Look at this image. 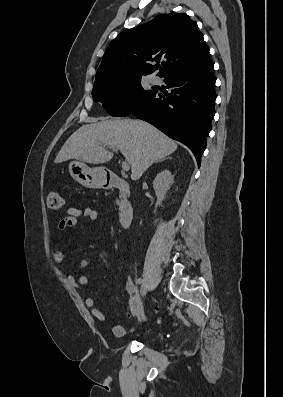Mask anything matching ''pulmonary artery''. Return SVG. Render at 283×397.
I'll return each mask as SVG.
<instances>
[{"instance_id": "obj_1", "label": "pulmonary artery", "mask_w": 283, "mask_h": 397, "mask_svg": "<svg viewBox=\"0 0 283 397\" xmlns=\"http://www.w3.org/2000/svg\"><path fill=\"white\" fill-rule=\"evenodd\" d=\"M152 82H153L154 84H159V83L161 82V80H160L159 77H153V78H152Z\"/></svg>"}]
</instances>
